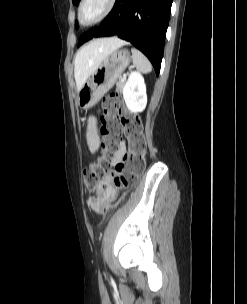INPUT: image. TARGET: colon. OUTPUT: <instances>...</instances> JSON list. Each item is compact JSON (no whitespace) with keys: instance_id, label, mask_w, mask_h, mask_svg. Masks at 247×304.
<instances>
[{"instance_id":"obj_1","label":"colon","mask_w":247,"mask_h":304,"mask_svg":"<svg viewBox=\"0 0 247 304\" xmlns=\"http://www.w3.org/2000/svg\"><path fill=\"white\" fill-rule=\"evenodd\" d=\"M103 106L100 127L101 154L83 174L86 189H97L96 195L90 199L91 206L97 211L112 204L119 190L129 189L137 183L145 168L146 154V141L140 118L125 110L117 94L107 96ZM122 133L128 139V152L115 169L108 173L111 156L118 148V139Z\"/></svg>"}]
</instances>
